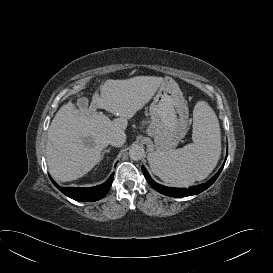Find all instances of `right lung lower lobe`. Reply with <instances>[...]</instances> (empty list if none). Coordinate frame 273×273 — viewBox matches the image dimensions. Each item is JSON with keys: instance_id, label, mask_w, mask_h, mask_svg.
Masks as SVG:
<instances>
[{"instance_id": "right-lung-lower-lobe-1", "label": "right lung lower lobe", "mask_w": 273, "mask_h": 273, "mask_svg": "<svg viewBox=\"0 0 273 273\" xmlns=\"http://www.w3.org/2000/svg\"><path fill=\"white\" fill-rule=\"evenodd\" d=\"M114 173L109 177V179L102 185L90 187V188H80V187H61L58 186L55 181L50 177L52 183L66 196L81 202L97 201L103 198L109 191Z\"/></svg>"}]
</instances>
